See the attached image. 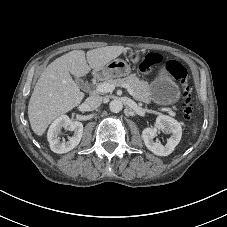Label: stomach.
Returning a JSON list of instances; mask_svg holds the SVG:
<instances>
[{
  "label": "stomach",
  "mask_w": 227,
  "mask_h": 227,
  "mask_svg": "<svg viewBox=\"0 0 227 227\" xmlns=\"http://www.w3.org/2000/svg\"><path fill=\"white\" fill-rule=\"evenodd\" d=\"M130 59L134 63L138 62V53L132 52ZM129 73L130 66L122 59H114L99 70V75L104 79L119 78L126 76ZM149 98L158 105H170L180 98L179 88L173 82L171 73L167 68H165L151 83Z\"/></svg>",
  "instance_id": "1"
}]
</instances>
